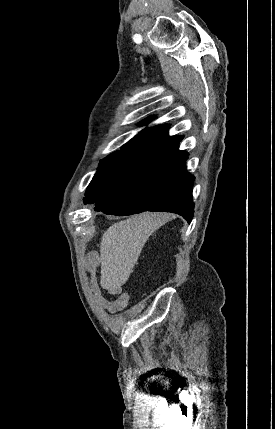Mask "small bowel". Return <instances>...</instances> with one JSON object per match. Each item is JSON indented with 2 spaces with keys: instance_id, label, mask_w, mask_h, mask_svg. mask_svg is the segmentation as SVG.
Instances as JSON below:
<instances>
[{
  "instance_id": "c3829d8e",
  "label": "small bowel",
  "mask_w": 275,
  "mask_h": 429,
  "mask_svg": "<svg viewBox=\"0 0 275 429\" xmlns=\"http://www.w3.org/2000/svg\"><path fill=\"white\" fill-rule=\"evenodd\" d=\"M107 290L116 295L115 299H107L103 296L101 288L98 285L92 287L94 298L99 306L109 312H116L124 309L130 302V294L127 291L116 287H109Z\"/></svg>"
}]
</instances>
